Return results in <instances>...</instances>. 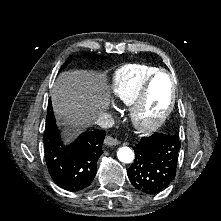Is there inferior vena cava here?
<instances>
[{
	"instance_id": "obj_1",
	"label": "inferior vena cava",
	"mask_w": 221,
	"mask_h": 221,
	"mask_svg": "<svg viewBox=\"0 0 221 221\" xmlns=\"http://www.w3.org/2000/svg\"><path fill=\"white\" fill-rule=\"evenodd\" d=\"M96 124L102 128H111L114 125V119L109 113H101L97 117Z\"/></svg>"
}]
</instances>
